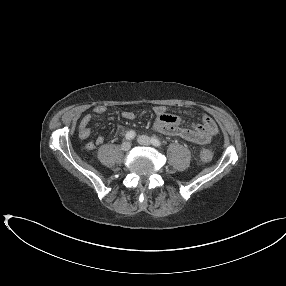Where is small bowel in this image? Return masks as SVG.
Segmentation results:
<instances>
[{
    "mask_svg": "<svg viewBox=\"0 0 286 286\" xmlns=\"http://www.w3.org/2000/svg\"><path fill=\"white\" fill-rule=\"evenodd\" d=\"M96 115H102L106 112L104 105H97L94 108ZM153 112L156 116L154 128L161 134L173 137H180L189 142L205 145L208 144L213 136L217 133V126L214 120L208 115H202L200 122L194 124H187L181 117L168 113L163 105H156L153 107ZM122 117L126 120H133L135 115L132 111H123ZM92 114H84L78 126V137L82 140L87 139L90 134V123L92 121ZM104 143V138L98 136L94 141H88L85 144L87 151L94 150L97 146Z\"/></svg>",
    "mask_w": 286,
    "mask_h": 286,
    "instance_id": "small-bowel-1",
    "label": "small bowel"
}]
</instances>
